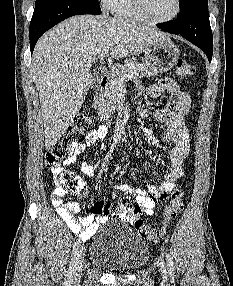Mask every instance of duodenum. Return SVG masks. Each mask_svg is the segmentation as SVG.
I'll use <instances>...</instances> for the list:
<instances>
[{
    "instance_id": "1",
    "label": "duodenum",
    "mask_w": 233,
    "mask_h": 286,
    "mask_svg": "<svg viewBox=\"0 0 233 286\" xmlns=\"http://www.w3.org/2000/svg\"><path fill=\"white\" fill-rule=\"evenodd\" d=\"M108 82H109L108 75L107 74L102 75V77L100 78V81H99L98 89L99 90L105 89L108 85Z\"/></svg>"
}]
</instances>
